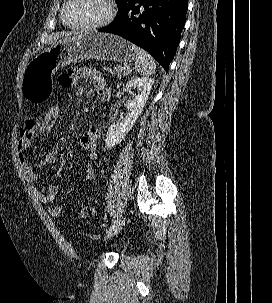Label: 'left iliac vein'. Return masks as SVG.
Segmentation results:
<instances>
[{
  "label": "left iliac vein",
  "instance_id": "4c4485c4",
  "mask_svg": "<svg viewBox=\"0 0 272 303\" xmlns=\"http://www.w3.org/2000/svg\"><path fill=\"white\" fill-rule=\"evenodd\" d=\"M124 222H125V218L119 219V221L116 222L115 227L113 229H111L110 231L107 232V234L105 236V239H109L113 235H115L116 233H118L122 229V226L124 225Z\"/></svg>",
  "mask_w": 272,
  "mask_h": 303
}]
</instances>
